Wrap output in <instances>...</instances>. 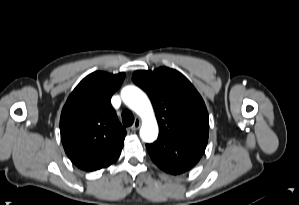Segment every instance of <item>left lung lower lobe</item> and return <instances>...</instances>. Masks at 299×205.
Listing matches in <instances>:
<instances>
[{
    "instance_id": "obj_1",
    "label": "left lung lower lobe",
    "mask_w": 299,
    "mask_h": 205,
    "mask_svg": "<svg viewBox=\"0 0 299 205\" xmlns=\"http://www.w3.org/2000/svg\"><path fill=\"white\" fill-rule=\"evenodd\" d=\"M207 143L178 138H158L147 144L152 161L163 171L177 175L194 167L203 155Z\"/></svg>"
}]
</instances>
